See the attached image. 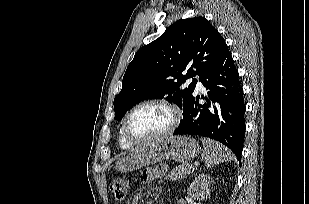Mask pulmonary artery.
<instances>
[{
    "mask_svg": "<svg viewBox=\"0 0 309 204\" xmlns=\"http://www.w3.org/2000/svg\"><path fill=\"white\" fill-rule=\"evenodd\" d=\"M196 88H197L198 90H203V89H204L203 84H202L200 81H197V83H196Z\"/></svg>",
    "mask_w": 309,
    "mask_h": 204,
    "instance_id": "pulmonary-artery-1",
    "label": "pulmonary artery"
}]
</instances>
